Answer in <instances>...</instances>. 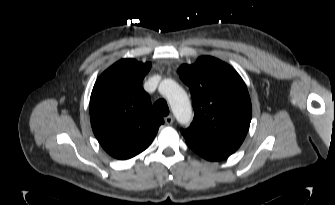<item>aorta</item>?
<instances>
[{
	"mask_svg": "<svg viewBox=\"0 0 335 205\" xmlns=\"http://www.w3.org/2000/svg\"><path fill=\"white\" fill-rule=\"evenodd\" d=\"M159 91L168 99L178 122L181 124L189 123L192 118V107L184 89L175 81L165 79L160 83Z\"/></svg>",
	"mask_w": 335,
	"mask_h": 205,
	"instance_id": "1",
	"label": "aorta"
}]
</instances>
